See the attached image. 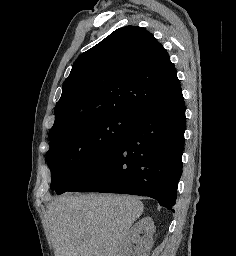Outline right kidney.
Returning <instances> with one entry per match:
<instances>
[{
  "instance_id": "1",
  "label": "right kidney",
  "mask_w": 236,
  "mask_h": 256,
  "mask_svg": "<svg viewBox=\"0 0 236 256\" xmlns=\"http://www.w3.org/2000/svg\"><path fill=\"white\" fill-rule=\"evenodd\" d=\"M156 228L152 218L146 216L139 220L135 226H132L131 230L127 232L126 238L122 244V252L120 256H149L150 250L153 246V234ZM144 234V236H140ZM136 244L134 252H132L130 246Z\"/></svg>"
}]
</instances>
